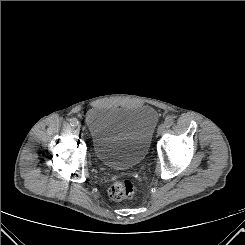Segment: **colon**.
I'll return each instance as SVG.
<instances>
[{
    "instance_id": "5ec220e1",
    "label": "colon",
    "mask_w": 245,
    "mask_h": 245,
    "mask_svg": "<svg viewBox=\"0 0 245 245\" xmlns=\"http://www.w3.org/2000/svg\"><path fill=\"white\" fill-rule=\"evenodd\" d=\"M135 193V185L130 180L115 182L108 190L109 197L114 201L128 200Z\"/></svg>"
}]
</instances>
